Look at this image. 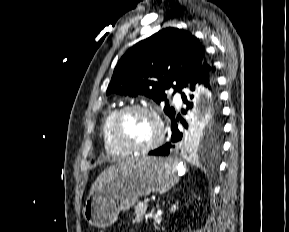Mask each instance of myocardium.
<instances>
[{"mask_svg":"<svg viewBox=\"0 0 289 232\" xmlns=\"http://www.w3.org/2000/svg\"><path fill=\"white\" fill-rule=\"evenodd\" d=\"M133 111H142V112L148 113L155 119L157 123V126H158L157 138L149 145L135 146L126 142L121 136L122 121L128 113L133 112ZM111 133H112V137L115 143L124 151L128 153H135V154H146L157 149L162 144L164 137H165V127L156 109H154L153 107L149 105L131 104V105L124 106L118 110L112 122Z\"/></svg>","mask_w":289,"mask_h":232,"instance_id":"f54148a6","label":"myocardium"}]
</instances>
